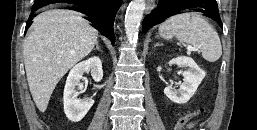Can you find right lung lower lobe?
<instances>
[{
    "mask_svg": "<svg viewBox=\"0 0 257 130\" xmlns=\"http://www.w3.org/2000/svg\"><path fill=\"white\" fill-rule=\"evenodd\" d=\"M55 2H45L36 0L32 7V13H34L39 8L46 6L48 4ZM121 4V0H94L91 2H86L85 4H78L82 7L81 13L85 14L88 21L92 22V26L101 32L104 36L111 39L112 44H114L113 35V23L116 12ZM31 17L26 24V29L31 25Z\"/></svg>",
    "mask_w": 257,
    "mask_h": 130,
    "instance_id": "obj_1",
    "label": "right lung lower lobe"
}]
</instances>
